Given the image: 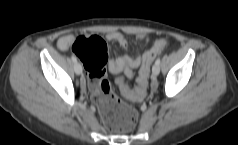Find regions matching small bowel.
<instances>
[{
    "label": "small bowel",
    "mask_w": 238,
    "mask_h": 145,
    "mask_svg": "<svg viewBox=\"0 0 238 145\" xmlns=\"http://www.w3.org/2000/svg\"><path fill=\"white\" fill-rule=\"evenodd\" d=\"M77 36L68 34L62 36L58 41L59 49L66 51L72 47V43ZM109 41L117 42L122 48L127 49V41L124 36L118 31H111L106 35ZM135 39L140 42L149 43L151 38L143 33L135 34ZM165 40V39H164ZM167 41V40H166ZM168 42L166 43L167 46ZM141 63V57L132 58L128 55H123L117 59H113L109 62V70L112 73L124 72V74L131 78L133 76V70L137 68ZM106 66V65H105ZM105 75V73H104Z\"/></svg>",
    "instance_id": "1"
}]
</instances>
